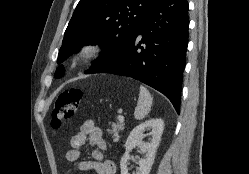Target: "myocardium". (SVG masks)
Masks as SVG:
<instances>
[{"mask_svg":"<svg viewBox=\"0 0 249 174\" xmlns=\"http://www.w3.org/2000/svg\"><path fill=\"white\" fill-rule=\"evenodd\" d=\"M103 52V46L94 40L83 43L78 49V57L85 61L90 62L96 60Z\"/></svg>","mask_w":249,"mask_h":174,"instance_id":"myocardium-1","label":"myocardium"}]
</instances>
